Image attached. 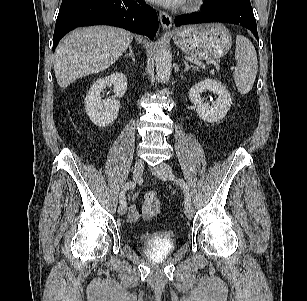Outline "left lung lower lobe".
<instances>
[{
	"label": "left lung lower lobe",
	"mask_w": 307,
	"mask_h": 301,
	"mask_svg": "<svg viewBox=\"0 0 307 301\" xmlns=\"http://www.w3.org/2000/svg\"><path fill=\"white\" fill-rule=\"evenodd\" d=\"M202 12L175 18V25L196 24L205 22L233 23L248 28L258 40L257 26L251 4L249 2H231L213 4L205 1Z\"/></svg>",
	"instance_id": "0a47b994"
}]
</instances>
